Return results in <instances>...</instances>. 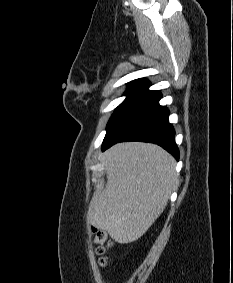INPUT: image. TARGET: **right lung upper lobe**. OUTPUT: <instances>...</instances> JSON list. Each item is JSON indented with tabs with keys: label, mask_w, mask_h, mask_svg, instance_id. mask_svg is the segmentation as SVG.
Instances as JSON below:
<instances>
[{
	"label": "right lung upper lobe",
	"mask_w": 233,
	"mask_h": 283,
	"mask_svg": "<svg viewBox=\"0 0 233 283\" xmlns=\"http://www.w3.org/2000/svg\"><path fill=\"white\" fill-rule=\"evenodd\" d=\"M133 82H148L147 80H145V79H138V80H135V81H133ZM150 83V82H149Z\"/></svg>",
	"instance_id": "obj_1"
}]
</instances>
